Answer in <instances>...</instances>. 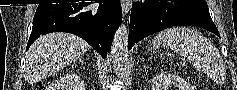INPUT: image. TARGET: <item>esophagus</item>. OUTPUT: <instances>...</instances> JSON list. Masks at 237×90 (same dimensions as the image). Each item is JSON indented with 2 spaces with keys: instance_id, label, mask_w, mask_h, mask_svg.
Instances as JSON below:
<instances>
[{
  "instance_id": "esophagus-1",
  "label": "esophagus",
  "mask_w": 237,
  "mask_h": 90,
  "mask_svg": "<svg viewBox=\"0 0 237 90\" xmlns=\"http://www.w3.org/2000/svg\"><path fill=\"white\" fill-rule=\"evenodd\" d=\"M121 3H122V13L124 16H126L132 7V1L131 0H122Z\"/></svg>"
}]
</instances>
